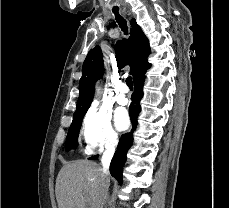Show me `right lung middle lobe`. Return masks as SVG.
<instances>
[{
  "instance_id": "obj_1",
  "label": "right lung middle lobe",
  "mask_w": 229,
  "mask_h": 208,
  "mask_svg": "<svg viewBox=\"0 0 229 208\" xmlns=\"http://www.w3.org/2000/svg\"><path fill=\"white\" fill-rule=\"evenodd\" d=\"M82 119L72 121V124L69 128L67 139H66V149L70 150L71 148H76L78 145L77 139L79 130L81 127Z\"/></svg>"
}]
</instances>
